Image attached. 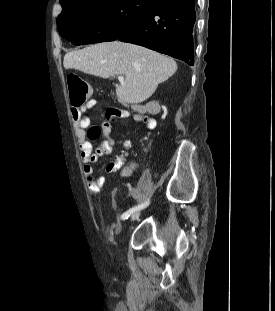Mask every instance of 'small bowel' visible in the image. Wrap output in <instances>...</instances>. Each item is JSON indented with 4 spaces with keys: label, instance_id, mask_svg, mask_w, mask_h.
Listing matches in <instances>:
<instances>
[{
    "label": "small bowel",
    "instance_id": "small-bowel-1",
    "mask_svg": "<svg viewBox=\"0 0 275 311\" xmlns=\"http://www.w3.org/2000/svg\"><path fill=\"white\" fill-rule=\"evenodd\" d=\"M93 104L86 103L83 106L72 108V116L75 123V134L79 141L80 159L83 164V173L87 188L92 193H98L104 184L103 176H95L91 163L97 161L101 156L108 155L113 151L114 141L110 137V131L113 123L106 122L103 126L104 140L95 148L85 140V127L88 124V119L83 115V110L90 108ZM115 115L118 119L127 118L130 113L125 109H114ZM133 120L139 122L147 130H153L156 127V120L150 116L141 113H134ZM132 145L131 140L125 139L123 141L124 149H129ZM124 163V153L118 154L106 165V172L109 174L115 173ZM132 168H127L124 171L125 176H129Z\"/></svg>",
    "mask_w": 275,
    "mask_h": 311
}]
</instances>
